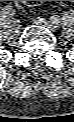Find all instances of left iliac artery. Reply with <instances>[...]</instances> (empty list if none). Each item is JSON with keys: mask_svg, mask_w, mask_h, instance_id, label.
<instances>
[{"mask_svg": "<svg viewBox=\"0 0 74 122\" xmlns=\"http://www.w3.org/2000/svg\"><path fill=\"white\" fill-rule=\"evenodd\" d=\"M51 20H52L54 23H56L57 25L60 23V19H59L58 17H56V16H52V17H51Z\"/></svg>", "mask_w": 74, "mask_h": 122, "instance_id": "1", "label": "left iliac artery"}]
</instances>
